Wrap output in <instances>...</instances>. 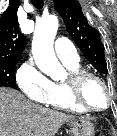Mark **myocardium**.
Masks as SVG:
<instances>
[{
	"label": "myocardium",
	"mask_w": 117,
	"mask_h": 136,
	"mask_svg": "<svg viewBox=\"0 0 117 136\" xmlns=\"http://www.w3.org/2000/svg\"><path fill=\"white\" fill-rule=\"evenodd\" d=\"M89 78H93L97 80L102 85V87L104 88L107 94V103L105 107L101 109L92 108L88 106L83 100L82 97L83 84ZM64 83L66 85L68 94L72 102L84 112H89V113L104 112L111 106L113 102V94L109 89V86L107 85V83L104 81L102 77H100L98 74L94 72H90L82 69L76 71H70L68 78Z\"/></svg>",
	"instance_id": "obj_1"
}]
</instances>
